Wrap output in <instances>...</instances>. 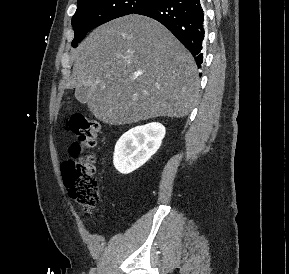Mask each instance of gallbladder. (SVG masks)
<instances>
[{"instance_id": "bac80fb5", "label": "gallbladder", "mask_w": 289, "mask_h": 274, "mask_svg": "<svg viewBox=\"0 0 289 274\" xmlns=\"http://www.w3.org/2000/svg\"><path fill=\"white\" fill-rule=\"evenodd\" d=\"M76 99L81 103H86L88 99V89L87 87H79L75 91Z\"/></svg>"}]
</instances>
